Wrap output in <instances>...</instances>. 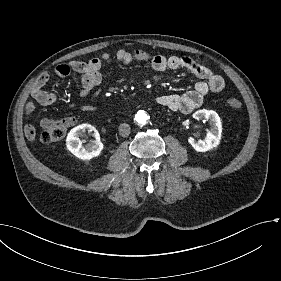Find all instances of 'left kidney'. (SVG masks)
Masks as SVG:
<instances>
[{
  "mask_svg": "<svg viewBox=\"0 0 281 281\" xmlns=\"http://www.w3.org/2000/svg\"><path fill=\"white\" fill-rule=\"evenodd\" d=\"M195 120L206 119L211 126L210 131L206 133L205 138L196 141L193 138L189 139V143L197 152H207L213 148H217L221 140L222 125L219 115L214 110H198L193 114Z\"/></svg>",
  "mask_w": 281,
  "mask_h": 281,
  "instance_id": "1",
  "label": "left kidney"
}]
</instances>
